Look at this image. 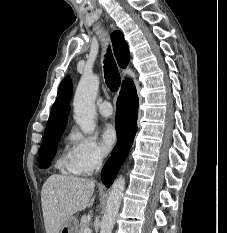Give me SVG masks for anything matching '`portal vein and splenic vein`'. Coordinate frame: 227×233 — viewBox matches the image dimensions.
Returning <instances> with one entry per match:
<instances>
[{
	"mask_svg": "<svg viewBox=\"0 0 227 233\" xmlns=\"http://www.w3.org/2000/svg\"><path fill=\"white\" fill-rule=\"evenodd\" d=\"M83 233H92L91 229L86 226V228L84 229Z\"/></svg>",
	"mask_w": 227,
	"mask_h": 233,
	"instance_id": "obj_1",
	"label": "portal vein and splenic vein"
}]
</instances>
